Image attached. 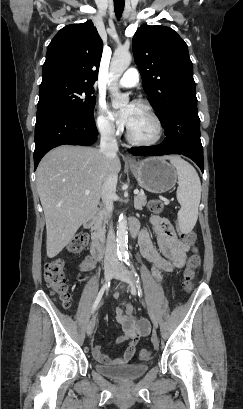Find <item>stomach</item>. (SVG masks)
<instances>
[{
    "label": "stomach",
    "mask_w": 243,
    "mask_h": 409,
    "mask_svg": "<svg viewBox=\"0 0 243 409\" xmlns=\"http://www.w3.org/2000/svg\"><path fill=\"white\" fill-rule=\"evenodd\" d=\"M129 168L138 184L148 192L165 193L176 184V171L163 157H149L130 163Z\"/></svg>",
    "instance_id": "obj_1"
}]
</instances>
